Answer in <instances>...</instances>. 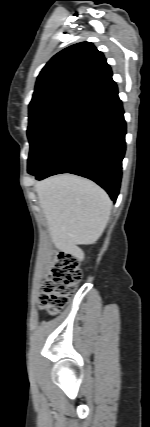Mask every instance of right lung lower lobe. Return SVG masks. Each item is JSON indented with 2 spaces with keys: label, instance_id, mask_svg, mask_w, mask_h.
Returning a JSON list of instances; mask_svg holds the SVG:
<instances>
[{
  "label": "right lung lower lobe",
  "instance_id": "obj_1",
  "mask_svg": "<svg viewBox=\"0 0 150 427\" xmlns=\"http://www.w3.org/2000/svg\"><path fill=\"white\" fill-rule=\"evenodd\" d=\"M117 86L73 116L32 173L37 180L60 173L89 178L116 200L125 153L126 123Z\"/></svg>",
  "mask_w": 150,
  "mask_h": 427
}]
</instances>
